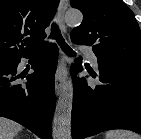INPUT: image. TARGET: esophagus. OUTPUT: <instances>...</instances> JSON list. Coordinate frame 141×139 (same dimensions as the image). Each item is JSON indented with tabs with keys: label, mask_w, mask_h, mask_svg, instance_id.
I'll return each mask as SVG.
<instances>
[{
	"label": "esophagus",
	"mask_w": 141,
	"mask_h": 139,
	"mask_svg": "<svg viewBox=\"0 0 141 139\" xmlns=\"http://www.w3.org/2000/svg\"><path fill=\"white\" fill-rule=\"evenodd\" d=\"M68 6V0H60L59 10H58V20L60 23L61 30L65 33L66 26L64 23V14ZM68 74L67 65L65 57L62 56L60 59V63L58 65L56 76H55V93L56 96H59L62 88L65 84V80Z\"/></svg>",
	"instance_id": "1"
}]
</instances>
